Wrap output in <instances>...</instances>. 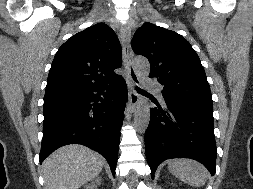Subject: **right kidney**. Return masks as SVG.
Returning a JSON list of instances; mask_svg holds the SVG:
<instances>
[{
  "mask_svg": "<svg viewBox=\"0 0 253 189\" xmlns=\"http://www.w3.org/2000/svg\"><path fill=\"white\" fill-rule=\"evenodd\" d=\"M101 179H96L94 182L91 183V185L89 184L88 186H86V189H97V185L100 184Z\"/></svg>",
  "mask_w": 253,
  "mask_h": 189,
  "instance_id": "right-kidney-1",
  "label": "right kidney"
}]
</instances>
